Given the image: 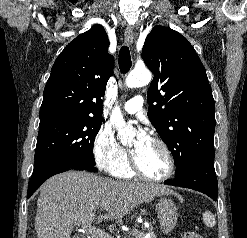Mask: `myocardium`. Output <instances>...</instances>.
Instances as JSON below:
<instances>
[{
    "label": "myocardium",
    "mask_w": 247,
    "mask_h": 238,
    "mask_svg": "<svg viewBox=\"0 0 247 238\" xmlns=\"http://www.w3.org/2000/svg\"><path fill=\"white\" fill-rule=\"evenodd\" d=\"M149 139L153 141L154 143H156L163 150L166 156L167 162H168V168H167L166 173L159 177H152V176L146 175L139 168L133 154H130L131 170L136 177L142 180L149 181V182H164L173 175L174 170H175V160H174L173 153L171 149L169 148V146L166 144V142H164L161 138L153 136V137H150Z\"/></svg>",
    "instance_id": "myocardium-1"
}]
</instances>
